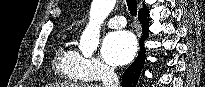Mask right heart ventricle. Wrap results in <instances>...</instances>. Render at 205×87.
I'll use <instances>...</instances> for the list:
<instances>
[{"mask_svg":"<svg viewBox=\"0 0 205 87\" xmlns=\"http://www.w3.org/2000/svg\"><path fill=\"white\" fill-rule=\"evenodd\" d=\"M81 55L70 47L68 41L56 49L53 59L54 69L60 78L68 81L84 82L87 78L79 70Z\"/></svg>","mask_w":205,"mask_h":87,"instance_id":"right-heart-ventricle-1","label":"right heart ventricle"}]
</instances>
